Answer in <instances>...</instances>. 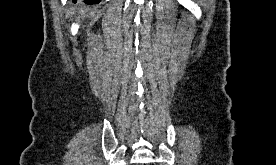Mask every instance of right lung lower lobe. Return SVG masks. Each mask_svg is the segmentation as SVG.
<instances>
[{
	"label": "right lung lower lobe",
	"instance_id": "obj_1",
	"mask_svg": "<svg viewBox=\"0 0 276 165\" xmlns=\"http://www.w3.org/2000/svg\"><path fill=\"white\" fill-rule=\"evenodd\" d=\"M78 1H81V0H73L74 3L78 2ZM84 2L86 4H96V3L100 2V0H84Z\"/></svg>",
	"mask_w": 276,
	"mask_h": 165
}]
</instances>
